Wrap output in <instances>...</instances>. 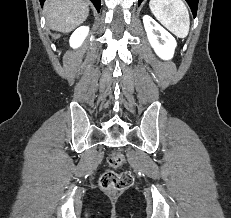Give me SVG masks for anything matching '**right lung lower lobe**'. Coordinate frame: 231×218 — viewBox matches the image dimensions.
<instances>
[{"instance_id":"right-lung-lower-lobe-1","label":"right lung lower lobe","mask_w":231,"mask_h":218,"mask_svg":"<svg viewBox=\"0 0 231 218\" xmlns=\"http://www.w3.org/2000/svg\"><path fill=\"white\" fill-rule=\"evenodd\" d=\"M45 0H40L41 4L44 3ZM91 2L94 4V6L96 7V9L98 10V12L100 11V0H91Z\"/></svg>"}]
</instances>
